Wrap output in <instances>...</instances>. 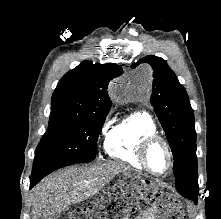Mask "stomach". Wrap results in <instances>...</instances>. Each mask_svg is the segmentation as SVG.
<instances>
[{
	"mask_svg": "<svg viewBox=\"0 0 221 219\" xmlns=\"http://www.w3.org/2000/svg\"><path fill=\"white\" fill-rule=\"evenodd\" d=\"M149 181L148 179L146 180ZM155 190H152V194H147V199H170V190H163L160 184H151Z\"/></svg>",
	"mask_w": 221,
	"mask_h": 219,
	"instance_id": "obj_1",
	"label": "stomach"
}]
</instances>
